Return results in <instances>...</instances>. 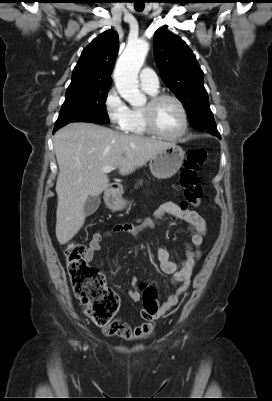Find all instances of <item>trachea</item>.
<instances>
[{
  "instance_id": "obj_1",
  "label": "trachea",
  "mask_w": 272,
  "mask_h": 401,
  "mask_svg": "<svg viewBox=\"0 0 272 401\" xmlns=\"http://www.w3.org/2000/svg\"><path fill=\"white\" fill-rule=\"evenodd\" d=\"M135 9L137 11H142L144 9V3L140 0H135Z\"/></svg>"
}]
</instances>
